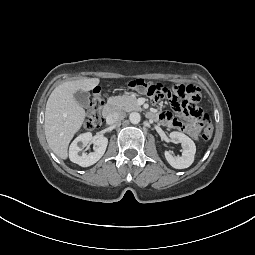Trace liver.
Instances as JSON below:
<instances>
[{
    "label": "liver",
    "mask_w": 255,
    "mask_h": 255,
    "mask_svg": "<svg viewBox=\"0 0 255 255\" xmlns=\"http://www.w3.org/2000/svg\"><path fill=\"white\" fill-rule=\"evenodd\" d=\"M98 78H82L58 85L48 98L45 109L44 130L51 150L61 159L68 157V145L84 123L86 112L74 94L92 90Z\"/></svg>",
    "instance_id": "obj_1"
}]
</instances>
